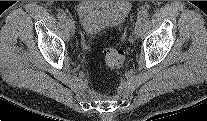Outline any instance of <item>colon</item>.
<instances>
[{"instance_id": "obj_1", "label": "colon", "mask_w": 207, "mask_h": 121, "mask_svg": "<svg viewBox=\"0 0 207 121\" xmlns=\"http://www.w3.org/2000/svg\"><path fill=\"white\" fill-rule=\"evenodd\" d=\"M104 60L109 69L119 70L124 64L125 55L118 47H108L104 51Z\"/></svg>"}]
</instances>
